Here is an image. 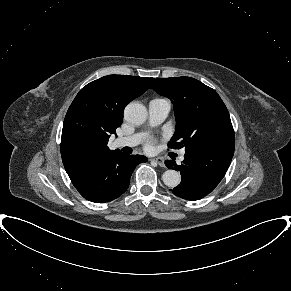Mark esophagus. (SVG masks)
Returning a JSON list of instances; mask_svg holds the SVG:
<instances>
[{
	"label": "esophagus",
	"mask_w": 291,
	"mask_h": 291,
	"mask_svg": "<svg viewBox=\"0 0 291 291\" xmlns=\"http://www.w3.org/2000/svg\"><path fill=\"white\" fill-rule=\"evenodd\" d=\"M152 161H154L155 163H157L160 167H164V161H163V159L162 158H153V159H151Z\"/></svg>",
	"instance_id": "34e87169"
}]
</instances>
